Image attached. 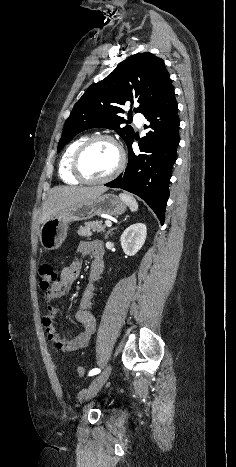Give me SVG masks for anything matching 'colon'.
<instances>
[{
    "label": "colon",
    "mask_w": 236,
    "mask_h": 467,
    "mask_svg": "<svg viewBox=\"0 0 236 467\" xmlns=\"http://www.w3.org/2000/svg\"><path fill=\"white\" fill-rule=\"evenodd\" d=\"M40 276V287L44 291H50L54 288L57 282V270L56 267L51 263L42 264L39 268ZM78 376L84 375V368L79 366L76 369Z\"/></svg>",
    "instance_id": "colon-1"
}]
</instances>
